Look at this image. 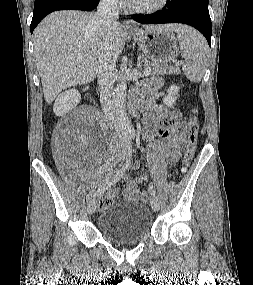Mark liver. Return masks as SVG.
Wrapping results in <instances>:
<instances>
[{
    "mask_svg": "<svg viewBox=\"0 0 253 285\" xmlns=\"http://www.w3.org/2000/svg\"><path fill=\"white\" fill-rule=\"evenodd\" d=\"M94 14L83 11H56L44 18L34 31V52L44 98L52 103L64 89L93 81L101 49L108 45L117 58L123 51L126 34L119 23L107 34L95 25ZM152 30L179 31L178 24L144 25Z\"/></svg>",
    "mask_w": 253,
    "mask_h": 285,
    "instance_id": "liver-1",
    "label": "liver"
}]
</instances>
